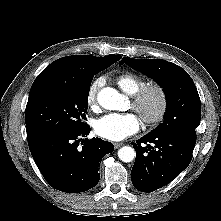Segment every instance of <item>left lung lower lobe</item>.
<instances>
[{"mask_svg": "<svg viewBox=\"0 0 221 221\" xmlns=\"http://www.w3.org/2000/svg\"><path fill=\"white\" fill-rule=\"evenodd\" d=\"M136 143L131 180L137 190L148 193L167 185L190 164L196 139L149 133Z\"/></svg>", "mask_w": 221, "mask_h": 221, "instance_id": "1", "label": "left lung lower lobe"}]
</instances>
